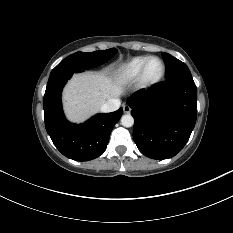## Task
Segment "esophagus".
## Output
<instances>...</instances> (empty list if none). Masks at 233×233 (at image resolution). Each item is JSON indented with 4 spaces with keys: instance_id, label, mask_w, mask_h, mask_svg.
I'll list each match as a JSON object with an SVG mask.
<instances>
[{
    "instance_id": "34e87169",
    "label": "esophagus",
    "mask_w": 233,
    "mask_h": 233,
    "mask_svg": "<svg viewBox=\"0 0 233 233\" xmlns=\"http://www.w3.org/2000/svg\"><path fill=\"white\" fill-rule=\"evenodd\" d=\"M123 111L124 113L128 114L131 112V107L128 105H123Z\"/></svg>"
}]
</instances>
